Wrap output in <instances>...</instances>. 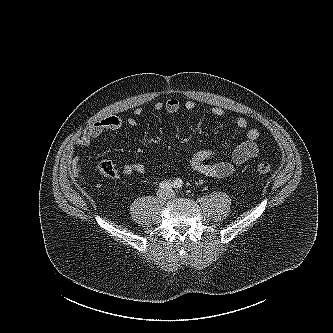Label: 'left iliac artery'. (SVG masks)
I'll list each match as a JSON object with an SVG mask.
<instances>
[{
    "label": "left iliac artery",
    "instance_id": "44dca946",
    "mask_svg": "<svg viewBox=\"0 0 333 333\" xmlns=\"http://www.w3.org/2000/svg\"><path fill=\"white\" fill-rule=\"evenodd\" d=\"M173 185H174V188L181 189L183 187V181L178 178L174 181Z\"/></svg>",
    "mask_w": 333,
    "mask_h": 333
}]
</instances>
